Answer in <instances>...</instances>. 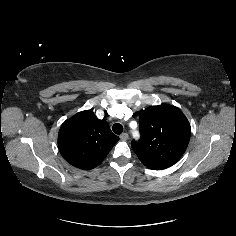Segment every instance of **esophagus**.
I'll list each match as a JSON object with an SVG mask.
<instances>
[{
    "instance_id": "34e87169",
    "label": "esophagus",
    "mask_w": 236,
    "mask_h": 236,
    "mask_svg": "<svg viewBox=\"0 0 236 236\" xmlns=\"http://www.w3.org/2000/svg\"><path fill=\"white\" fill-rule=\"evenodd\" d=\"M128 134L127 133H122L121 135H120V139L121 140H123V141H126L127 139H128Z\"/></svg>"
}]
</instances>
